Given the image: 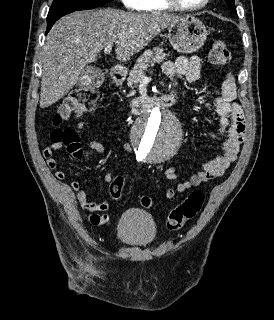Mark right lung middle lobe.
Instances as JSON below:
<instances>
[{
    "label": "right lung middle lobe",
    "instance_id": "obj_1",
    "mask_svg": "<svg viewBox=\"0 0 274 320\" xmlns=\"http://www.w3.org/2000/svg\"><path fill=\"white\" fill-rule=\"evenodd\" d=\"M113 0H53L47 21L60 18L74 11L94 9Z\"/></svg>",
    "mask_w": 274,
    "mask_h": 320
}]
</instances>
